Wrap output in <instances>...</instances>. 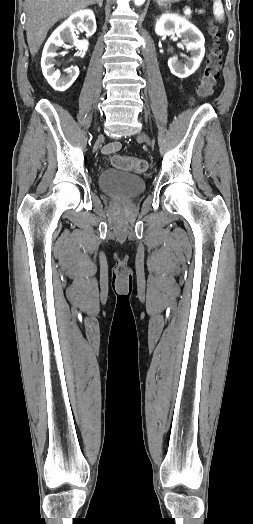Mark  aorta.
<instances>
[{
    "label": "aorta",
    "instance_id": "1",
    "mask_svg": "<svg viewBox=\"0 0 253 524\" xmlns=\"http://www.w3.org/2000/svg\"><path fill=\"white\" fill-rule=\"evenodd\" d=\"M145 2V0H135L136 5H142Z\"/></svg>",
    "mask_w": 253,
    "mask_h": 524
}]
</instances>
